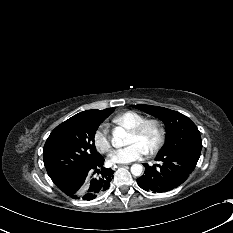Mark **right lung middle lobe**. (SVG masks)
<instances>
[{"mask_svg": "<svg viewBox=\"0 0 233 233\" xmlns=\"http://www.w3.org/2000/svg\"><path fill=\"white\" fill-rule=\"evenodd\" d=\"M113 111L114 108H108L82 118L68 119L51 132L44 145L43 160L55 184L102 158L96 151L94 136Z\"/></svg>", "mask_w": 233, "mask_h": 233, "instance_id": "dd1d6c3e", "label": "right lung middle lobe"}]
</instances>
